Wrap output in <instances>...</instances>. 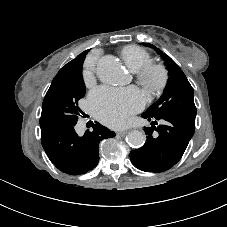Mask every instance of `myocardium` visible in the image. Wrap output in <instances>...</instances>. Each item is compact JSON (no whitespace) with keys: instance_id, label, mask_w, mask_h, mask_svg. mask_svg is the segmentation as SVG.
<instances>
[{"instance_id":"f54148a6","label":"myocardium","mask_w":227,"mask_h":227,"mask_svg":"<svg viewBox=\"0 0 227 227\" xmlns=\"http://www.w3.org/2000/svg\"><path fill=\"white\" fill-rule=\"evenodd\" d=\"M138 82L149 90V97L160 95L168 83V71L163 64L150 62L136 72Z\"/></svg>"}]
</instances>
